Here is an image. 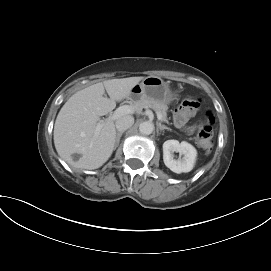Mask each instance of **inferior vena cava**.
Segmentation results:
<instances>
[{
  "mask_svg": "<svg viewBox=\"0 0 271 271\" xmlns=\"http://www.w3.org/2000/svg\"><path fill=\"white\" fill-rule=\"evenodd\" d=\"M134 124V118L130 115L122 116L116 121V128L119 132H124Z\"/></svg>",
  "mask_w": 271,
  "mask_h": 271,
  "instance_id": "602c4592",
  "label": "inferior vena cava"
}]
</instances>
